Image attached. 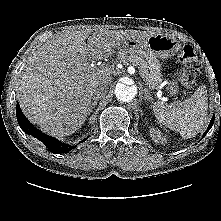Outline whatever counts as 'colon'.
<instances>
[{
  "mask_svg": "<svg viewBox=\"0 0 221 221\" xmlns=\"http://www.w3.org/2000/svg\"><path fill=\"white\" fill-rule=\"evenodd\" d=\"M180 61L183 68L177 71L178 78L187 85H193L196 82L198 68V59L191 45H185L180 55Z\"/></svg>",
  "mask_w": 221,
  "mask_h": 221,
  "instance_id": "1",
  "label": "colon"
}]
</instances>
